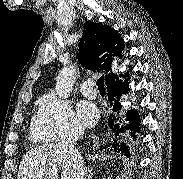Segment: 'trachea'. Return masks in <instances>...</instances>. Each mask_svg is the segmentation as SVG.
<instances>
[{
	"label": "trachea",
	"instance_id": "obj_1",
	"mask_svg": "<svg viewBox=\"0 0 183 179\" xmlns=\"http://www.w3.org/2000/svg\"><path fill=\"white\" fill-rule=\"evenodd\" d=\"M97 86H98L99 91H104L105 90L104 76L103 75L97 80Z\"/></svg>",
	"mask_w": 183,
	"mask_h": 179
}]
</instances>
